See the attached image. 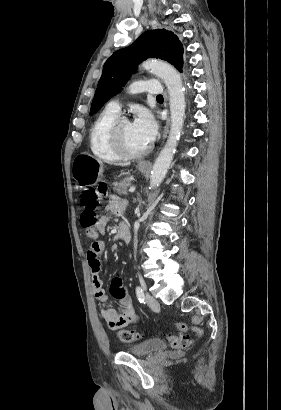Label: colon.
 <instances>
[{"label": "colon", "mask_w": 281, "mask_h": 410, "mask_svg": "<svg viewBox=\"0 0 281 410\" xmlns=\"http://www.w3.org/2000/svg\"><path fill=\"white\" fill-rule=\"evenodd\" d=\"M106 192V186L101 184L97 189H87L81 195L83 211L80 224L91 238L97 237L98 206L100 200L106 195ZM175 327L180 332L179 335L164 334L169 345L175 349H185L191 345L192 338L189 333L190 331L197 335L202 334V330L199 327L189 325L185 322H178ZM118 335L120 340L125 343H131L143 337L142 332L133 330H121Z\"/></svg>", "instance_id": "obj_1"}]
</instances>
